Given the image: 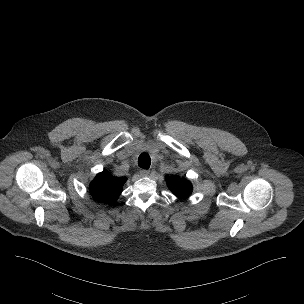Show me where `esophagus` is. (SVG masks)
I'll return each mask as SVG.
<instances>
[{"mask_svg":"<svg viewBox=\"0 0 304 304\" xmlns=\"http://www.w3.org/2000/svg\"><path fill=\"white\" fill-rule=\"evenodd\" d=\"M149 173H150V171L147 170V169H141V170H140V175L143 176V177H144V176H148Z\"/></svg>","mask_w":304,"mask_h":304,"instance_id":"34e87169","label":"esophagus"}]
</instances>
